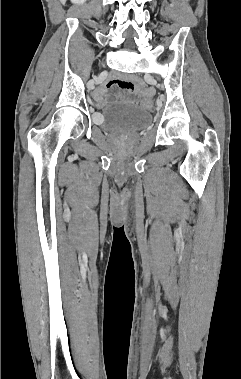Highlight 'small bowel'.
Segmentation results:
<instances>
[{
  "label": "small bowel",
  "instance_id": "1",
  "mask_svg": "<svg viewBox=\"0 0 241 379\" xmlns=\"http://www.w3.org/2000/svg\"><path fill=\"white\" fill-rule=\"evenodd\" d=\"M114 86H118L125 91H132L134 89V84L131 81L122 80L118 78L108 79L101 87L96 89L94 92V99L99 107H102L105 105L104 96H105L106 90ZM123 99L129 102H135L134 99L129 98V97H123Z\"/></svg>",
  "mask_w": 241,
  "mask_h": 379
}]
</instances>
